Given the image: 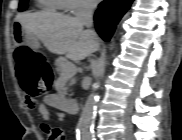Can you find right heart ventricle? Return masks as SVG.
<instances>
[{"label":"right heart ventricle","instance_id":"obj_1","mask_svg":"<svg viewBox=\"0 0 182 140\" xmlns=\"http://www.w3.org/2000/svg\"><path fill=\"white\" fill-rule=\"evenodd\" d=\"M41 6L50 11H56L62 9L64 0H41Z\"/></svg>","mask_w":182,"mask_h":140}]
</instances>
